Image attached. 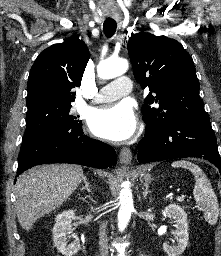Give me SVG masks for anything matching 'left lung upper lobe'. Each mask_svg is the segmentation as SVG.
I'll use <instances>...</instances> for the list:
<instances>
[{
  "instance_id": "5c2ea615",
  "label": "left lung upper lobe",
  "mask_w": 221,
  "mask_h": 256,
  "mask_svg": "<svg viewBox=\"0 0 221 256\" xmlns=\"http://www.w3.org/2000/svg\"><path fill=\"white\" fill-rule=\"evenodd\" d=\"M128 53L136 81L150 90L142 105L147 126L208 117L193 60L178 41L147 32L132 34Z\"/></svg>"
}]
</instances>
